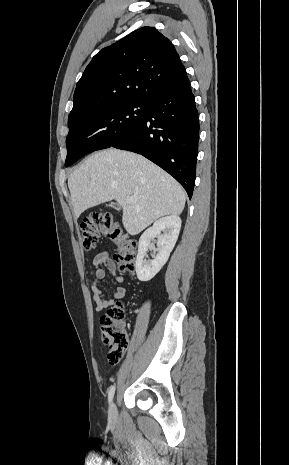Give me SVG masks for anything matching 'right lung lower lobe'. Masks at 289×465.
Here are the masks:
<instances>
[{
	"mask_svg": "<svg viewBox=\"0 0 289 465\" xmlns=\"http://www.w3.org/2000/svg\"><path fill=\"white\" fill-rule=\"evenodd\" d=\"M199 140V119L190 84L149 101L146 117L111 147L148 158L172 175L192 197Z\"/></svg>",
	"mask_w": 289,
	"mask_h": 465,
	"instance_id": "right-lung-lower-lobe-1",
	"label": "right lung lower lobe"
}]
</instances>
